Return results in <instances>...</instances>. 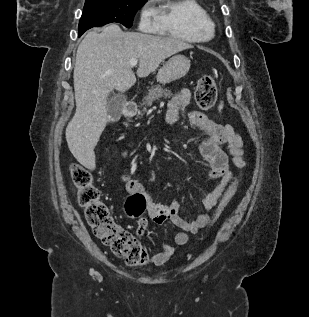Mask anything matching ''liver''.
<instances>
[{
	"label": "liver",
	"mask_w": 309,
	"mask_h": 317,
	"mask_svg": "<svg viewBox=\"0 0 309 317\" xmlns=\"http://www.w3.org/2000/svg\"><path fill=\"white\" fill-rule=\"evenodd\" d=\"M192 48L175 38L124 32L117 24L90 31L78 46L73 79L76 112L66 128L69 150L88 169L95 168L96 147L108 121L107 102L114 89L125 92L137 76L147 77L171 55Z\"/></svg>",
	"instance_id": "liver-1"
}]
</instances>
